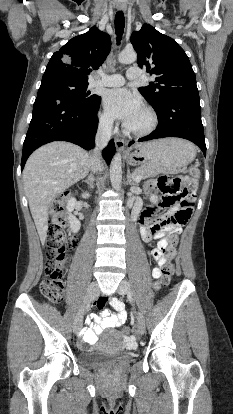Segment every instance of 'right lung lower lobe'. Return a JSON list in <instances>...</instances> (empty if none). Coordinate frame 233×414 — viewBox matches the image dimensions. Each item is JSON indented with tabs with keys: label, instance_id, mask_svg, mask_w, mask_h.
<instances>
[{
	"label": "right lung lower lobe",
	"instance_id": "98d812e1",
	"mask_svg": "<svg viewBox=\"0 0 233 414\" xmlns=\"http://www.w3.org/2000/svg\"><path fill=\"white\" fill-rule=\"evenodd\" d=\"M100 102L101 98L95 103L82 105L54 96H37L23 143L21 170L29 155L42 144L63 140L87 150L94 148ZM114 153L115 144L111 140L103 151L107 164Z\"/></svg>",
	"mask_w": 233,
	"mask_h": 414
}]
</instances>
